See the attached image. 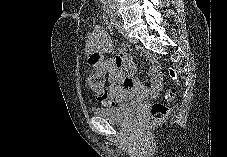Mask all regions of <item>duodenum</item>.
Returning a JSON list of instances; mask_svg holds the SVG:
<instances>
[{
    "instance_id": "obj_1",
    "label": "duodenum",
    "mask_w": 227,
    "mask_h": 157,
    "mask_svg": "<svg viewBox=\"0 0 227 157\" xmlns=\"http://www.w3.org/2000/svg\"><path fill=\"white\" fill-rule=\"evenodd\" d=\"M106 22L107 23H114V22H116L115 16L114 15H107L106 16Z\"/></svg>"
}]
</instances>
